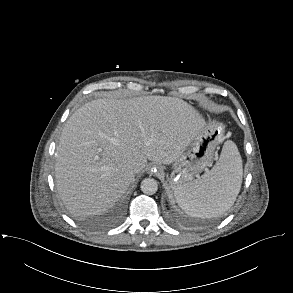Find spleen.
Segmentation results:
<instances>
[{"instance_id":"1","label":"spleen","mask_w":293,"mask_h":293,"mask_svg":"<svg viewBox=\"0 0 293 293\" xmlns=\"http://www.w3.org/2000/svg\"><path fill=\"white\" fill-rule=\"evenodd\" d=\"M242 159L236 144L226 141L213 168L175 191L181 209L190 216L212 218L234 204L242 184Z\"/></svg>"}]
</instances>
